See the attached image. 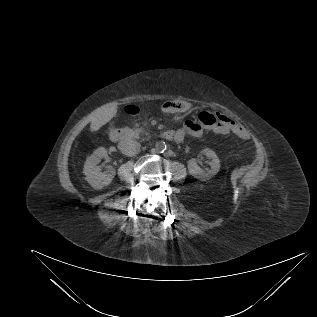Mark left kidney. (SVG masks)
<instances>
[{
	"label": "left kidney",
	"mask_w": 317,
	"mask_h": 317,
	"mask_svg": "<svg viewBox=\"0 0 317 317\" xmlns=\"http://www.w3.org/2000/svg\"><path fill=\"white\" fill-rule=\"evenodd\" d=\"M201 153L206 155L209 159H211V169L203 170L198 166L196 159H190L188 161L187 168L189 173L193 175L195 178L200 180H207L211 178L213 175L217 174L220 170V160L216 153L209 148L204 149L203 151H201Z\"/></svg>",
	"instance_id": "left-kidney-1"
}]
</instances>
